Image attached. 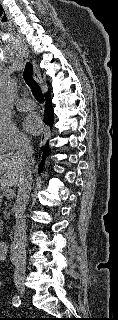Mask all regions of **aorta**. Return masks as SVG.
<instances>
[{"label":"aorta","mask_w":118,"mask_h":320,"mask_svg":"<svg viewBox=\"0 0 118 320\" xmlns=\"http://www.w3.org/2000/svg\"><path fill=\"white\" fill-rule=\"evenodd\" d=\"M16 84L8 78L0 82V123L7 124L11 120L12 104L15 96ZM16 257L15 240L10 246V260L14 262Z\"/></svg>","instance_id":"aorta-1"}]
</instances>
